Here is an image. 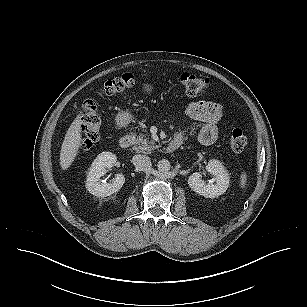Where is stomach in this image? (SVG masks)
Here are the masks:
<instances>
[{"instance_id":"1","label":"stomach","mask_w":307,"mask_h":307,"mask_svg":"<svg viewBox=\"0 0 307 307\" xmlns=\"http://www.w3.org/2000/svg\"><path fill=\"white\" fill-rule=\"evenodd\" d=\"M153 90V87L150 84H144L143 85V91L147 94H150ZM132 119V115L128 111H122L119 112L118 115L116 116V123L118 126H126L130 120Z\"/></svg>"}]
</instances>
